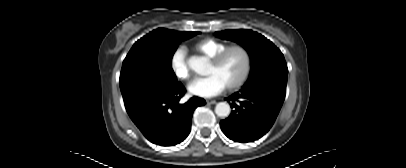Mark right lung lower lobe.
Wrapping results in <instances>:
<instances>
[{
	"mask_svg": "<svg viewBox=\"0 0 406 168\" xmlns=\"http://www.w3.org/2000/svg\"><path fill=\"white\" fill-rule=\"evenodd\" d=\"M185 92L184 86L179 82L171 90L143 102L128 114L152 143L161 146L179 144L190 133L195 108L206 104L204 99L198 97L179 104Z\"/></svg>",
	"mask_w": 406,
	"mask_h": 168,
	"instance_id": "1",
	"label": "right lung lower lobe"
}]
</instances>
